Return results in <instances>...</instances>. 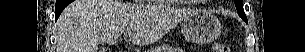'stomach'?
I'll return each instance as SVG.
<instances>
[{
  "instance_id": "stomach-1",
  "label": "stomach",
  "mask_w": 305,
  "mask_h": 52,
  "mask_svg": "<svg viewBox=\"0 0 305 52\" xmlns=\"http://www.w3.org/2000/svg\"><path fill=\"white\" fill-rule=\"evenodd\" d=\"M221 29V23L214 15L203 11H193L183 19L181 32L191 42L206 44L212 42Z\"/></svg>"
}]
</instances>
